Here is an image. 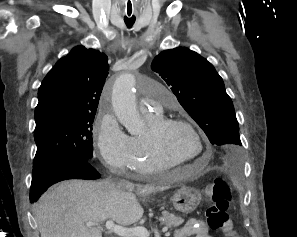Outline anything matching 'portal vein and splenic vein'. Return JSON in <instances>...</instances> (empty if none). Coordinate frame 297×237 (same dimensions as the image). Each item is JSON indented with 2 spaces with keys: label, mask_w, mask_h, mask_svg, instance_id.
<instances>
[{
  "label": "portal vein and splenic vein",
  "mask_w": 297,
  "mask_h": 237,
  "mask_svg": "<svg viewBox=\"0 0 297 237\" xmlns=\"http://www.w3.org/2000/svg\"><path fill=\"white\" fill-rule=\"evenodd\" d=\"M97 223L94 222H87L86 226L91 227L95 226ZM106 229L112 231L114 234L120 237H149L150 232L145 227H135V228H126L114 223L113 220H108L105 224ZM168 227L165 226L162 228V232H167Z\"/></svg>",
  "instance_id": "18ae733b"
}]
</instances>
